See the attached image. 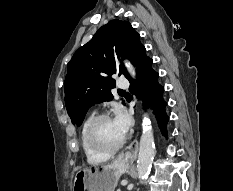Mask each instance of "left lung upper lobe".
I'll return each instance as SVG.
<instances>
[{"label":"left lung upper lobe","mask_w":233,"mask_h":191,"mask_svg":"<svg viewBox=\"0 0 233 191\" xmlns=\"http://www.w3.org/2000/svg\"><path fill=\"white\" fill-rule=\"evenodd\" d=\"M145 51L140 35L131 24L117 19L102 26L80 47L68 63L65 78V105L72 123L81 125L91 106L113 99L110 89L115 87V80L112 74H124L129 78L123 64L116 65V56L131 60L138 68L147 57Z\"/></svg>","instance_id":"5c2ea615"}]
</instances>
